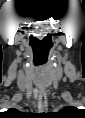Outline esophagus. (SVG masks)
Masks as SVG:
<instances>
[{
    "instance_id": "1",
    "label": "esophagus",
    "mask_w": 85,
    "mask_h": 118,
    "mask_svg": "<svg viewBox=\"0 0 85 118\" xmlns=\"http://www.w3.org/2000/svg\"><path fill=\"white\" fill-rule=\"evenodd\" d=\"M38 109L40 112L46 113L48 111V101L46 91H40L38 96Z\"/></svg>"
}]
</instances>
